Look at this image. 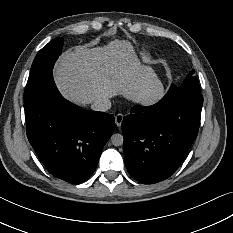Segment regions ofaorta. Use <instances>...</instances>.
<instances>
[{
	"label": "aorta",
	"mask_w": 233,
	"mask_h": 233,
	"mask_svg": "<svg viewBox=\"0 0 233 233\" xmlns=\"http://www.w3.org/2000/svg\"><path fill=\"white\" fill-rule=\"evenodd\" d=\"M110 140L114 146H121L123 144V136L121 134H113Z\"/></svg>",
	"instance_id": "762f6f07"
}]
</instances>
